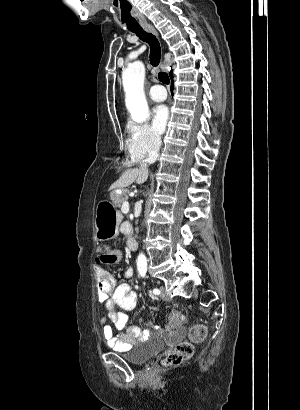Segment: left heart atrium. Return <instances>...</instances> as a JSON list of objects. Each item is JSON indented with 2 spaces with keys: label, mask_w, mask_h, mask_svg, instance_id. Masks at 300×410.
I'll return each instance as SVG.
<instances>
[{
  "label": "left heart atrium",
  "mask_w": 300,
  "mask_h": 410,
  "mask_svg": "<svg viewBox=\"0 0 300 410\" xmlns=\"http://www.w3.org/2000/svg\"><path fill=\"white\" fill-rule=\"evenodd\" d=\"M168 121H169L168 107L163 104L156 106L153 110V118H152L154 129L159 133H163L166 129Z\"/></svg>",
  "instance_id": "39dd6f15"
}]
</instances>
